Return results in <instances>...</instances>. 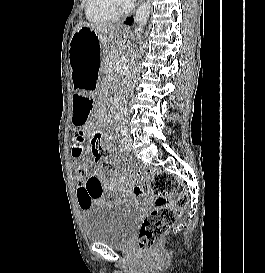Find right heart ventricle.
<instances>
[{"label":"right heart ventricle","instance_id":"obj_1","mask_svg":"<svg viewBox=\"0 0 265 273\" xmlns=\"http://www.w3.org/2000/svg\"><path fill=\"white\" fill-rule=\"evenodd\" d=\"M87 18L96 23H104L117 20L121 10L113 0H87Z\"/></svg>","mask_w":265,"mask_h":273}]
</instances>
